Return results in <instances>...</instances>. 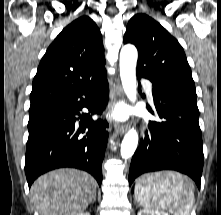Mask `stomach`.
<instances>
[{
	"mask_svg": "<svg viewBox=\"0 0 221 215\" xmlns=\"http://www.w3.org/2000/svg\"><path fill=\"white\" fill-rule=\"evenodd\" d=\"M166 172H160V173H156V174H149L146 175L145 177L147 179L153 178V181L156 182L157 180H159L161 177H163L165 175Z\"/></svg>",
	"mask_w": 221,
	"mask_h": 215,
	"instance_id": "stomach-1",
	"label": "stomach"
}]
</instances>
